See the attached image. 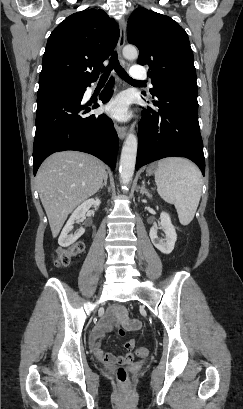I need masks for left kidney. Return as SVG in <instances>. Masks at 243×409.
<instances>
[{
    "label": "left kidney",
    "instance_id": "1",
    "mask_svg": "<svg viewBox=\"0 0 243 409\" xmlns=\"http://www.w3.org/2000/svg\"><path fill=\"white\" fill-rule=\"evenodd\" d=\"M158 229L164 230L165 239L158 237ZM149 236L154 246L162 253L170 254L173 251L177 234L168 213L160 214V223L151 227Z\"/></svg>",
    "mask_w": 243,
    "mask_h": 409
}]
</instances>
